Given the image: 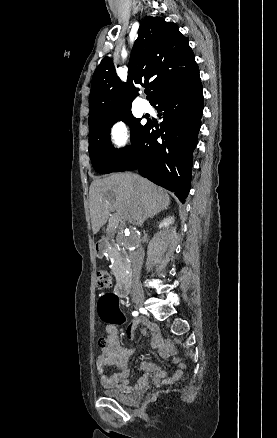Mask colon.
Returning <instances> with one entry per match:
<instances>
[{"label": "colon", "mask_w": 277, "mask_h": 438, "mask_svg": "<svg viewBox=\"0 0 277 438\" xmlns=\"http://www.w3.org/2000/svg\"><path fill=\"white\" fill-rule=\"evenodd\" d=\"M95 281L97 289L103 290L113 283V277L106 270H98L95 275ZM106 339V336H100L98 338L97 345L99 348L105 345Z\"/></svg>", "instance_id": "1"}]
</instances>
